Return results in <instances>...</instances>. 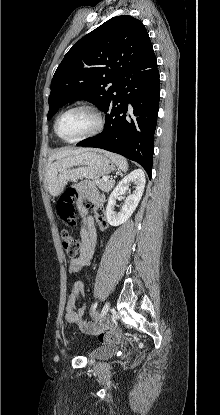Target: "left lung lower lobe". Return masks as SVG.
<instances>
[{
	"label": "left lung lower lobe",
	"instance_id": "obj_1",
	"mask_svg": "<svg viewBox=\"0 0 220 415\" xmlns=\"http://www.w3.org/2000/svg\"><path fill=\"white\" fill-rule=\"evenodd\" d=\"M159 98L154 54L145 64L128 70L116 81L114 94L103 109L107 113L103 132L77 145L105 149L136 161L151 178Z\"/></svg>",
	"mask_w": 220,
	"mask_h": 415
}]
</instances>
